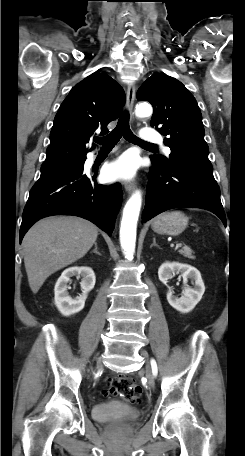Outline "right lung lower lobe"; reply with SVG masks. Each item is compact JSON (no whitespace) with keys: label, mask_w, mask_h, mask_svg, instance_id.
<instances>
[{"label":"right lung lower lobe","mask_w":245,"mask_h":456,"mask_svg":"<svg viewBox=\"0 0 245 456\" xmlns=\"http://www.w3.org/2000/svg\"><path fill=\"white\" fill-rule=\"evenodd\" d=\"M85 162V159H84ZM83 166L74 172L40 177L32 187L23 211L20 242L39 219L51 215H75L90 220L112 234L122 201L120 184L104 186L83 174Z\"/></svg>","instance_id":"1"}]
</instances>
